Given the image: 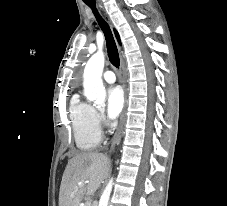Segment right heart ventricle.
I'll list each match as a JSON object with an SVG mask.
<instances>
[{
	"instance_id": "right-heart-ventricle-1",
	"label": "right heart ventricle",
	"mask_w": 227,
	"mask_h": 206,
	"mask_svg": "<svg viewBox=\"0 0 227 206\" xmlns=\"http://www.w3.org/2000/svg\"><path fill=\"white\" fill-rule=\"evenodd\" d=\"M94 108L74 95L70 101L69 116L76 146L82 151L94 149L100 142V132L94 122Z\"/></svg>"
}]
</instances>
